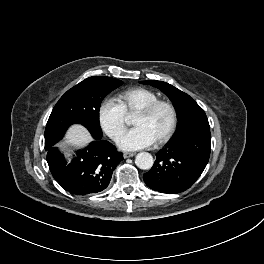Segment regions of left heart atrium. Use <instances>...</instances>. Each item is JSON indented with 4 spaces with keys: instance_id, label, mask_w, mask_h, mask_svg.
I'll return each mask as SVG.
<instances>
[{
    "instance_id": "39dd6f15",
    "label": "left heart atrium",
    "mask_w": 264,
    "mask_h": 264,
    "mask_svg": "<svg viewBox=\"0 0 264 264\" xmlns=\"http://www.w3.org/2000/svg\"><path fill=\"white\" fill-rule=\"evenodd\" d=\"M156 140L143 127H135L126 132L119 140V147L123 150H138L152 145Z\"/></svg>"
}]
</instances>
